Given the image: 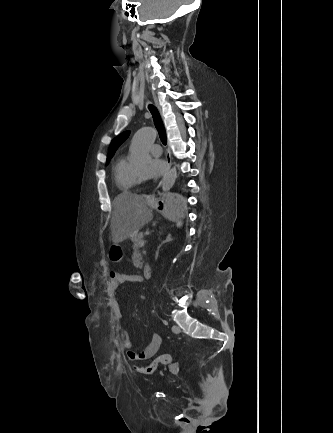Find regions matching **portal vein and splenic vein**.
I'll return each instance as SVG.
<instances>
[{"instance_id":"1","label":"portal vein and splenic vein","mask_w":333,"mask_h":433,"mask_svg":"<svg viewBox=\"0 0 333 433\" xmlns=\"http://www.w3.org/2000/svg\"><path fill=\"white\" fill-rule=\"evenodd\" d=\"M140 245H144V241L143 240L140 242Z\"/></svg>"}]
</instances>
